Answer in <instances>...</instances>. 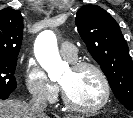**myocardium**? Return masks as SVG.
Here are the masks:
<instances>
[{
  "mask_svg": "<svg viewBox=\"0 0 133 118\" xmlns=\"http://www.w3.org/2000/svg\"><path fill=\"white\" fill-rule=\"evenodd\" d=\"M72 69L74 70H82V69H92L94 70L97 75L99 76L102 86H103V98L101 99L100 102H98L95 105L88 106V107H83V106H78L74 104L66 94L63 86L61 85L62 88V100L64 105L73 112L76 113H84V114H89V113H95L101 109H103L109 102L111 98V86L109 79L103 69L97 65L96 63L89 62V61H78L72 64L71 66Z\"/></svg>",
  "mask_w": 133,
  "mask_h": 118,
  "instance_id": "obj_1",
  "label": "myocardium"
}]
</instances>
